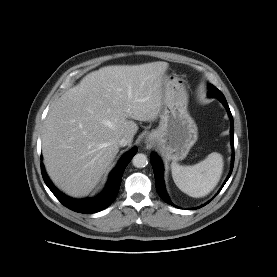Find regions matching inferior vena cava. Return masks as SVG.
<instances>
[{
	"mask_svg": "<svg viewBox=\"0 0 277 277\" xmlns=\"http://www.w3.org/2000/svg\"><path fill=\"white\" fill-rule=\"evenodd\" d=\"M130 143V140L126 137H122L121 139L118 140V144L121 147H124Z\"/></svg>",
	"mask_w": 277,
	"mask_h": 277,
	"instance_id": "1",
	"label": "inferior vena cava"
}]
</instances>
